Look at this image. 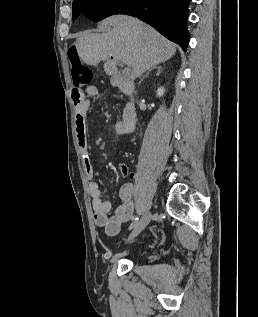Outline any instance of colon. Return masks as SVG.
Returning a JSON list of instances; mask_svg holds the SVG:
<instances>
[{"label": "colon", "mask_w": 258, "mask_h": 317, "mask_svg": "<svg viewBox=\"0 0 258 317\" xmlns=\"http://www.w3.org/2000/svg\"><path fill=\"white\" fill-rule=\"evenodd\" d=\"M67 55L74 86L83 87L88 85L93 79V71L82 63L76 44H71L68 47Z\"/></svg>", "instance_id": "5ec220e1"}]
</instances>
